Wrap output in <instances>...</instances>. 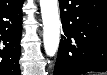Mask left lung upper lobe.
<instances>
[{"label":"left lung upper lobe","mask_w":107,"mask_h":75,"mask_svg":"<svg viewBox=\"0 0 107 75\" xmlns=\"http://www.w3.org/2000/svg\"><path fill=\"white\" fill-rule=\"evenodd\" d=\"M84 31V26L79 19V17H75L74 20L70 23H68V30L66 37L69 40L76 41L77 39H80L82 37Z\"/></svg>","instance_id":"left-lung-upper-lobe-1"}]
</instances>
